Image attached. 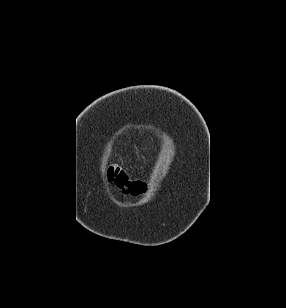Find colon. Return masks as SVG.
<instances>
[{"label":"colon","instance_id":"colon-1","mask_svg":"<svg viewBox=\"0 0 286 308\" xmlns=\"http://www.w3.org/2000/svg\"><path fill=\"white\" fill-rule=\"evenodd\" d=\"M107 179L127 194L138 195L146 189L144 182L130 178L123 169L118 167H109L107 169Z\"/></svg>","mask_w":286,"mask_h":308}]
</instances>
